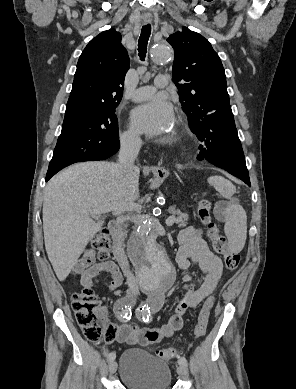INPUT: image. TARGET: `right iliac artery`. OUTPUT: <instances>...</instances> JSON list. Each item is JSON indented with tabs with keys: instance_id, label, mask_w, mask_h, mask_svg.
Masks as SVG:
<instances>
[{
	"instance_id": "82829eb1",
	"label": "right iliac artery",
	"mask_w": 296,
	"mask_h": 389,
	"mask_svg": "<svg viewBox=\"0 0 296 389\" xmlns=\"http://www.w3.org/2000/svg\"><path fill=\"white\" fill-rule=\"evenodd\" d=\"M128 302V299L127 298H121L118 303H117V306H116V315L118 317L119 320L121 321H125V314H126V310L128 308H132V304L131 303H127ZM104 355L107 357V359L110 361V360H114L115 359V353L114 352H111V353H108V351H106L104 353Z\"/></svg>"
}]
</instances>
